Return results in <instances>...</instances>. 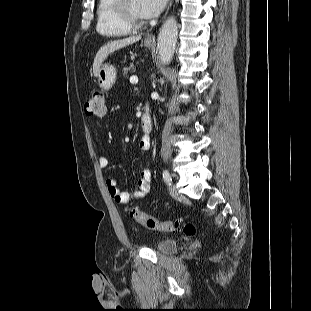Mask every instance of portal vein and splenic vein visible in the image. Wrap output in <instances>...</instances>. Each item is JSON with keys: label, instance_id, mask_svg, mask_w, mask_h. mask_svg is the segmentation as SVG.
<instances>
[{"label": "portal vein and splenic vein", "instance_id": "portal-vein-and-splenic-vein-1", "mask_svg": "<svg viewBox=\"0 0 311 311\" xmlns=\"http://www.w3.org/2000/svg\"><path fill=\"white\" fill-rule=\"evenodd\" d=\"M130 83L131 84H137L138 83V77L137 76L130 77Z\"/></svg>", "mask_w": 311, "mask_h": 311}]
</instances>
